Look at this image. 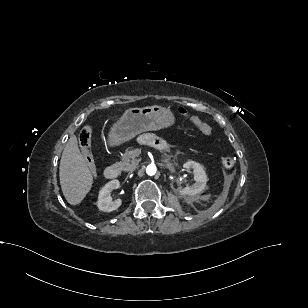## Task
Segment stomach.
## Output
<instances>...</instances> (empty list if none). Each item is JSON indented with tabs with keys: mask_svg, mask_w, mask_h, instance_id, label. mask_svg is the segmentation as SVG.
Masks as SVG:
<instances>
[{
	"mask_svg": "<svg viewBox=\"0 0 308 308\" xmlns=\"http://www.w3.org/2000/svg\"><path fill=\"white\" fill-rule=\"evenodd\" d=\"M175 123V116L170 109L159 106L129 108L111 127L108 142L117 146L145 131H156Z\"/></svg>",
	"mask_w": 308,
	"mask_h": 308,
	"instance_id": "stomach-1",
	"label": "stomach"
}]
</instances>
